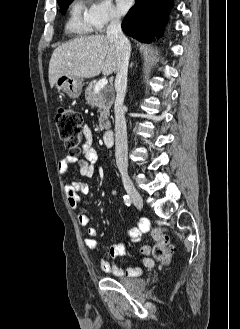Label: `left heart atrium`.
<instances>
[{
	"label": "left heart atrium",
	"mask_w": 240,
	"mask_h": 329,
	"mask_svg": "<svg viewBox=\"0 0 240 329\" xmlns=\"http://www.w3.org/2000/svg\"><path fill=\"white\" fill-rule=\"evenodd\" d=\"M133 0H116V10L119 14L126 13L132 5Z\"/></svg>",
	"instance_id": "1"
}]
</instances>
